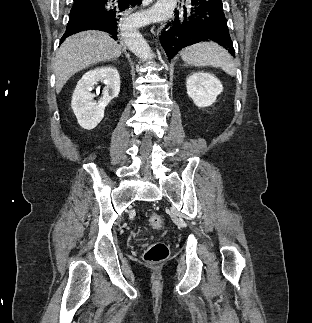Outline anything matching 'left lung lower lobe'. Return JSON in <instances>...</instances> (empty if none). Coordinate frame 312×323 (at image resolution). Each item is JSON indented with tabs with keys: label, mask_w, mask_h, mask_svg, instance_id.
<instances>
[{
	"label": "left lung lower lobe",
	"mask_w": 312,
	"mask_h": 323,
	"mask_svg": "<svg viewBox=\"0 0 312 323\" xmlns=\"http://www.w3.org/2000/svg\"><path fill=\"white\" fill-rule=\"evenodd\" d=\"M160 41L168 59L202 41L217 42L235 56L221 0H192L190 7L175 12L163 28Z\"/></svg>",
	"instance_id": "obj_1"
}]
</instances>
